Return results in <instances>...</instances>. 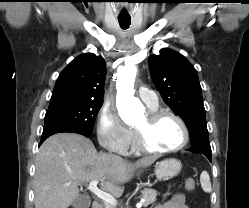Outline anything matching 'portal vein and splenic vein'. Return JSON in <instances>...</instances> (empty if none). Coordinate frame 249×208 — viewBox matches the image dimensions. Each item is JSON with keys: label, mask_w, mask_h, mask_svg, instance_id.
Listing matches in <instances>:
<instances>
[{"label": "portal vein and splenic vein", "mask_w": 249, "mask_h": 208, "mask_svg": "<svg viewBox=\"0 0 249 208\" xmlns=\"http://www.w3.org/2000/svg\"><path fill=\"white\" fill-rule=\"evenodd\" d=\"M98 180H93L89 183L88 189L94 193L98 198L102 199L105 203H108L110 205H116L117 200L109 193L102 191L97 187ZM145 200H141L139 203L136 204L137 208H141L143 205V202Z\"/></svg>", "instance_id": "1"}]
</instances>
